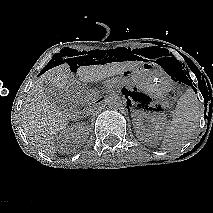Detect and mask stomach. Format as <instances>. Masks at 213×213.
Segmentation results:
<instances>
[{
	"instance_id": "stomach-1",
	"label": "stomach",
	"mask_w": 213,
	"mask_h": 213,
	"mask_svg": "<svg viewBox=\"0 0 213 213\" xmlns=\"http://www.w3.org/2000/svg\"><path fill=\"white\" fill-rule=\"evenodd\" d=\"M124 75L152 98H166L172 91L171 79L155 62H142L140 65L124 71Z\"/></svg>"
}]
</instances>
